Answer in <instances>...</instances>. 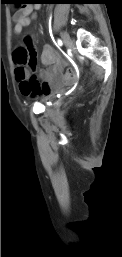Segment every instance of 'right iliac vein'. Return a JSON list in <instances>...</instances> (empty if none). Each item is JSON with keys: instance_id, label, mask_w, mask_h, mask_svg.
Here are the masks:
<instances>
[{"instance_id": "63e3f726", "label": "right iliac vein", "mask_w": 122, "mask_h": 257, "mask_svg": "<svg viewBox=\"0 0 122 257\" xmlns=\"http://www.w3.org/2000/svg\"><path fill=\"white\" fill-rule=\"evenodd\" d=\"M61 37H62L63 42L65 43L66 46H68L71 43V39L66 32H62Z\"/></svg>"}]
</instances>
